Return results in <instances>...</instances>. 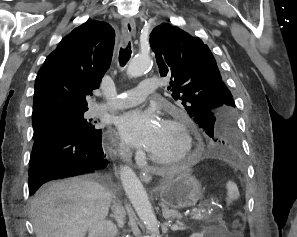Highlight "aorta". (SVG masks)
Instances as JSON below:
<instances>
[{"instance_id": "obj_1", "label": "aorta", "mask_w": 297, "mask_h": 237, "mask_svg": "<svg viewBox=\"0 0 297 237\" xmlns=\"http://www.w3.org/2000/svg\"><path fill=\"white\" fill-rule=\"evenodd\" d=\"M152 60L149 56L139 55L131 60L126 73L129 77H139L150 69ZM120 178L125 193L138 214L140 220L153 236L159 237V222L155 216L148 195L135 172L128 166L120 171Z\"/></svg>"}]
</instances>
